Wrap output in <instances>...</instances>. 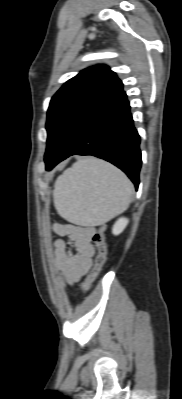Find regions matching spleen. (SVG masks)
I'll use <instances>...</instances> for the list:
<instances>
[{"label": "spleen", "mask_w": 182, "mask_h": 399, "mask_svg": "<svg viewBox=\"0 0 182 399\" xmlns=\"http://www.w3.org/2000/svg\"><path fill=\"white\" fill-rule=\"evenodd\" d=\"M134 188L127 176L94 157L78 160L54 185V206L67 221L81 226L104 224L130 204Z\"/></svg>", "instance_id": "spleen-1"}]
</instances>
